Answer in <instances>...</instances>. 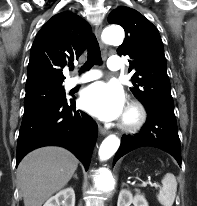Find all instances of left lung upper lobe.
<instances>
[{"label":"left lung upper lobe","instance_id":"1","mask_svg":"<svg viewBox=\"0 0 197 206\" xmlns=\"http://www.w3.org/2000/svg\"><path fill=\"white\" fill-rule=\"evenodd\" d=\"M108 22L122 26L126 33L117 53L130 57L129 71H135L131 92L147 109L159 107L174 111L163 43L156 27L129 7L113 10Z\"/></svg>","mask_w":197,"mask_h":206}]
</instances>
